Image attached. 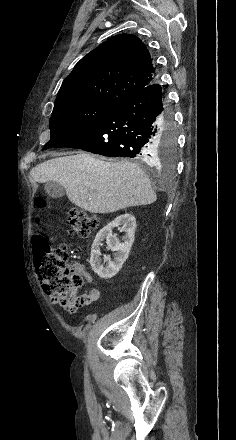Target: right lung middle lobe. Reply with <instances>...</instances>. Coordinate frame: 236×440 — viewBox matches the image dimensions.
Listing matches in <instances>:
<instances>
[{
  "label": "right lung middle lobe",
  "instance_id": "dd1d6c3e",
  "mask_svg": "<svg viewBox=\"0 0 236 440\" xmlns=\"http://www.w3.org/2000/svg\"><path fill=\"white\" fill-rule=\"evenodd\" d=\"M117 106L91 100L55 104L50 120L51 139L42 150L57 147L71 137L86 131ZM157 146L163 162H172L176 149L174 131L162 132L157 140Z\"/></svg>",
  "mask_w": 236,
  "mask_h": 440
}]
</instances>
